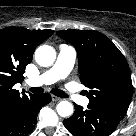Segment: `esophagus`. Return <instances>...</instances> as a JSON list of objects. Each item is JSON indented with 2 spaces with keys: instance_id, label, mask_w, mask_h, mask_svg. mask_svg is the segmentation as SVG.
I'll use <instances>...</instances> for the list:
<instances>
[{
  "instance_id": "esophagus-1",
  "label": "esophagus",
  "mask_w": 136,
  "mask_h": 136,
  "mask_svg": "<svg viewBox=\"0 0 136 136\" xmlns=\"http://www.w3.org/2000/svg\"><path fill=\"white\" fill-rule=\"evenodd\" d=\"M51 98H52V101H54V102H59L62 100L60 97H57L55 95H52Z\"/></svg>"
}]
</instances>
